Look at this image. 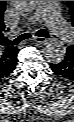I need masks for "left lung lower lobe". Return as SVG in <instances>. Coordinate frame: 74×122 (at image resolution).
Listing matches in <instances>:
<instances>
[{
  "instance_id": "obj_1",
  "label": "left lung lower lobe",
  "mask_w": 74,
  "mask_h": 122,
  "mask_svg": "<svg viewBox=\"0 0 74 122\" xmlns=\"http://www.w3.org/2000/svg\"><path fill=\"white\" fill-rule=\"evenodd\" d=\"M50 66L59 77L74 81V47H68L63 60L59 63L50 64Z\"/></svg>"
}]
</instances>
